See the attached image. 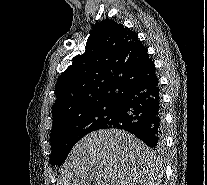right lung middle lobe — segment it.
Listing matches in <instances>:
<instances>
[{
    "mask_svg": "<svg viewBox=\"0 0 207 185\" xmlns=\"http://www.w3.org/2000/svg\"><path fill=\"white\" fill-rule=\"evenodd\" d=\"M118 110L117 103L105 104L66 118L54 125L50 135L51 164H62L73 146L82 137L115 122Z\"/></svg>",
    "mask_w": 207,
    "mask_h": 185,
    "instance_id": "obj_1",
    "label": "right lung middle lobe"
}]
</instances>
